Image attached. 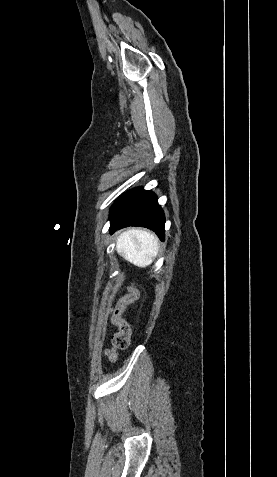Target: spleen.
I'll return each instance as SVG.
<instances>
[{
	"instance_id": "spleen-1",
	"label": "spleen",
	"mask_w": 277,
	"mask_h": 477,
	"mask_svg": "<svg viewBox=\"0 0 277 477\" xmlns=\"http://www.w3.org/2000/svg\"><path fill=\"white\" fill-rule=\"evenodd\" d=\"M158 250L157 237L145 230L130 229L117 237L116 251L118 254L141 268L152 264Z\"/></svg>"
}]
</instances>
